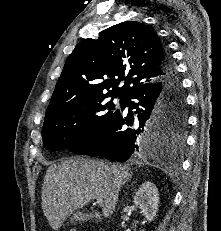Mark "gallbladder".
Segmentation results:
<instances>
[{"label": "gallbladder", "instance_id": "1", "mask_svg": "<svg viewBox=\"0 0 221 231\" xmlns=\"http://www.w3.org/2000/svg\"><path fill=\"white\" fill-rule=\"evenodd\" d=\"M92 218L91 213H86L83 211H76L73 213L72 217L70 218L71 224H76L77 222H85Z\"/></svg>", "mask_w": 221, "mask_h": 231}]
</instances>
